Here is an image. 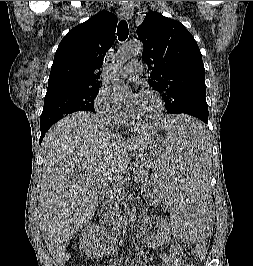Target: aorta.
Wrapping results in <instances>:
<instances>
[{
  "label": "aorta",
  "mask_w": 253,
  "mask_h": 266,
  "mask_svg": "<svg viewBox=\"0 0 253 266\" xmlns=\"http://www.w3.org/2000/svg\"><path fill=\"white\" fill-rule=\"evenodd\" d=\"M143 51V44L140 41H132L119 47L116 58L120 62H125L130 58L140 55ZM112 87L118 96H127L130 92L128 85L121 81H113Z\"/></svg>",
  "instance_id": "1"
}]
</instances>
